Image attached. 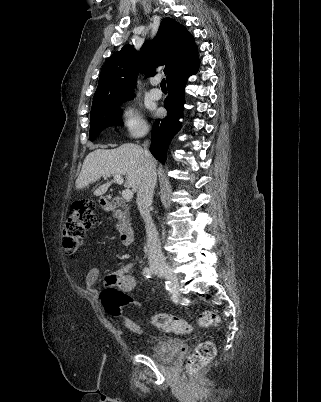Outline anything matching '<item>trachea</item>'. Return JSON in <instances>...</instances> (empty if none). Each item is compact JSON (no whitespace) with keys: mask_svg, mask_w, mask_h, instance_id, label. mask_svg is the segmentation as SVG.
Here are the masks:
<instances>
[{"mask_svg":"<svg viewBox=\"0 0 321 402\" xmlns=\"http://www.w3.org/2000/svg\"><path fill=\"white\" fill-rule=\"evenodd\" d=\"M160 85H161V88H162V89H166V81H165V79H162Z\"/></svg>","mask_w":321,"mask_h":402,"instance_id":"3493384b","label":"trachea"}]
</instances>
